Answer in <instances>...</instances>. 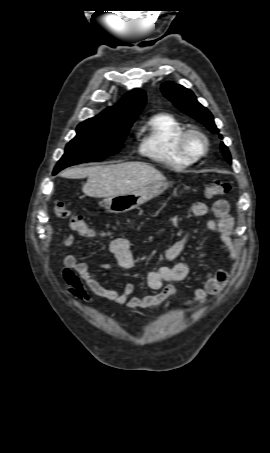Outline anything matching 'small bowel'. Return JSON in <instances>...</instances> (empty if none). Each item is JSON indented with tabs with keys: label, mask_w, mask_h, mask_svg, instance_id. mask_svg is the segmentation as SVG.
I'll use <instances>...</instances> for the list:
<instances>
[{
	"label": "small bowel",
	"mask_w": 270,
	"mask_h": 453,
	"mask_svg": "<svg viewBox=\"0 0 270 453\" xmlns=\"http://www.w3.org/2000/svg\"><path fill=\"white\" fill-rule=\"evenodd\" d=\"M211 211L213 219L207 222V228L217 236L227 249L228 260L235 263L239 256V245L231 238L234 220L229 211V204L223 199L216 200ZM207 212L208 206L203 202H196L192 205L194 217L205 216ZM190 237V232H187L182 238L165 248L162 251L163 260L173 262L178 259L184 252ZM76 243V238L72 234L66 235L63 240V244L69 248L74 247ZM110 251L119 266L125 269L134 266L131 243L128 239L124 237L112 239ZM64 261L65 267L62 270V276L66 282V291L75 300L80 303L89 302L90 291L98 297L111 300L127 309H149L172 301L176 296V289L172 284L187 280L192 273L191 266L184 262L150 270L145 275V283L150 289L157 292L133 296L132 294L136 290L135 283L129 282L123 289L107 287L92 275L90 265L87 262L80 260L73 254H67ZM111 265L112 263H102L99 267L108 269ZM229 278L230 274L224 267L206 272L200 285L194 289L192 298L185 302V306L206 304L207 296L222 292L228 284Z\"/></svg>",
	"instance_id": "1"
}]
</instances>
